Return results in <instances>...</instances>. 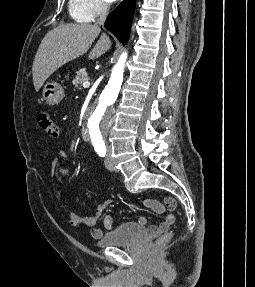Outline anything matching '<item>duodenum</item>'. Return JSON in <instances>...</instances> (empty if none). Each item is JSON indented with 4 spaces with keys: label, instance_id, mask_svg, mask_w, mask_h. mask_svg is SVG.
<instances>
[{
    "label": "duodenum",
    "instance_id": "410a0bca",
    "mask_svg": "<svg viewBox=\"0 0 255 287\" xmlns=\"http://www.w3.org/2000/svg\"><path fill=\"white\" fill-rule=\"evenodd\" d=\"M80 135H81V138L84 140V141H89V133H88V129L87 127L83 126L80 130Z\"/></svg>",
    "mask_w": 255,
    "mask_h": 287
}]
</instances>
